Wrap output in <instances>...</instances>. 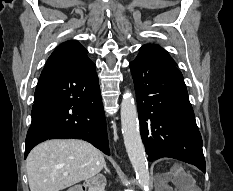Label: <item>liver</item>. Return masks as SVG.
<instances>
[{
  "mask_svg": "<svg viewBox=\"0 0 233 191\" xmlns=\"http://www.w3.org/2000/svg\"><path fill=\"white\" fill-rule=\"evenodd\" d=\"M104 163L103 154L83 140L45 141L33 148L26 160L30 191L63 190L94 177Z\"/></svg>",
  "mask_w": 233,
  "mask_h": 191,
  "instance_id": "6515ba94",
  "label": "liver"
}]
</instances>
